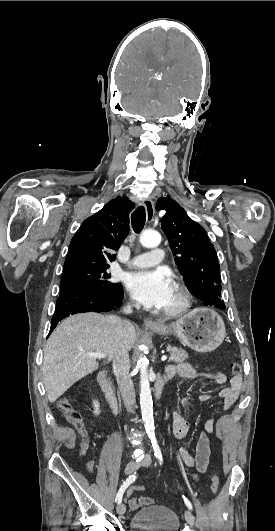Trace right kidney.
<instances>
[{
  "mask_svg": "<svg viewBox=\"0 0 275 531\" xmlns=\"http://www.w3.org/2000/svg\"><path fill=\"white\" fill-rule=\"evenodd\" d=\"M93 403H94V407H95L94 413H95V415H99V413H100V411H99V403H98V401H93Z\"/></svg>",
  "mask_w": 275,
  "mask_h": 531,
  "instance_id": "obj_1",
  "label": "right kidney"
}]
</instances>
